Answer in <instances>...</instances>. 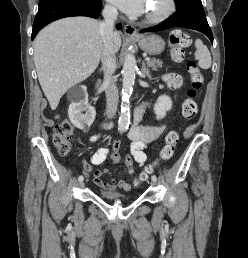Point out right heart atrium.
I'll return each mask as SVG.
<instances>
[{"instance_id":"1","label":"right heart atrium","mask_w":248,"mask_h":258,"mask_svg":"<svg viewBox=\"0 0 248 258\" xmlns=\"http://www.w3.org/2000/svg\"><path fill=\"white\" fill-rule=\"evenodd\" d=\"M107 10L110 11V12H115L116 11L115 8L110 4L107 5Z\"/></svg>"}]
</instances>
